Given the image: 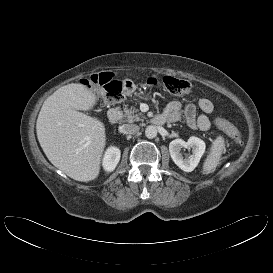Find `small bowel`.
I'll return each instance as SVG.
<instances>
[{
  "label": "small bowel",
  "mask_w": 273,
  "mask_h": 273,
  "mask_svg": "<svg viewBox=\"0 0 273 273\" xmlns=\"http://www.w3.org/2000/svg\"><path fill=\"white\" fill-rule=\"evenodd\" d=\"M197 108L203 113L197 115ZM213 111V103L206 98L200 99L197 105L193 103L183 104L175 100L167 104L162 115L167 118V122L174 123L184 119L190 128L207 131L211 126L208 114L213 113Z\"/></svg>",
  "instance_id": "1"
}]
</instances>
